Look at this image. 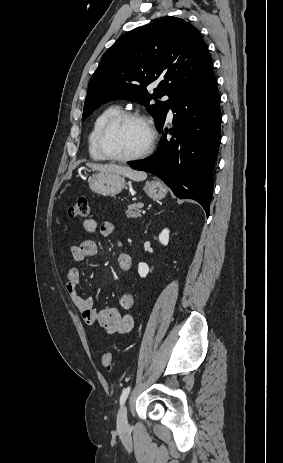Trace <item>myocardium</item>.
<instances>
[{
	"instance_id": "myocardium-1",
	"label": "myocardium",
	"mask_w": 283,
	"mask_h": 463,
	"mask_svg": "<svg viewBox=\"0 0 283 463\" xmlns=\"http://www.w3.org/2000/svg\"><path fill=\"white\" fill-rule=\"evenodd\" d=\"M129 119L138 120L145 126L148 132V135H149L148 143L141 152L135 155L127 156V157L115 155L108 149V146H107L108 135L114 127H116L121 122L129 120ZM156 141H157V133H156V130L154 128L152 121L146 115L140 112H137V111H122L118 113L117 115L111 117L100 129L99 134H98V139H97L98 148L100 152L104 155V157L108 160L120 162V163H129V162H134V161H138V160L146 158L154 150Z\"/></svg>"
}]
</instances>
